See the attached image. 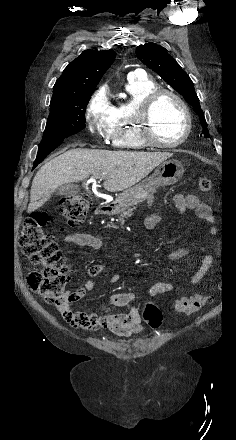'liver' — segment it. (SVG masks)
Listing matches in <instances>:
<instances>
[{
  "mask_svg": "<svg viewBox=\"0 0 236 440\" xmlns=\"http://www.w3.org/2000/svg\"><path fill=\"white\" fill-rule=\"evenodd\" d=\"M172 155L167 152L70 149L39 169L32 181L27 211L31 213L43 206L61 185L80 182L89 176L105 178L103 187L107 191H125Z\"/></svg>",
  "mask_w": 236,
  "mask_h": 440,
  "instance_id": "1",
  "label": "liver"
}]
</instances>
